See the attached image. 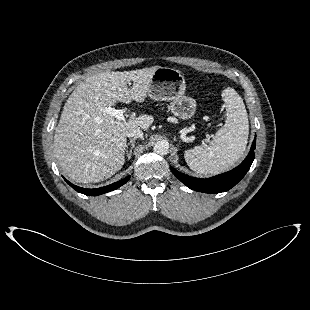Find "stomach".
<instances>
[{
  "mask_svg": "<svg viewBox=\"0 0 310 310\" xmlns=\"http://www.w3.org/2000/svg\"><path fill=\"white\" fill-rule=\"evenodd\" d=\"M186 83L180 70L158 67L148 91L151 99L170 102V111L178 118L186 120L196 111V100L185 95Z\"/></svg>",
  "mask_w": 310,
  "mask_h": 310,
  "instance_id": "0dacf381",
  "label": "stomach"
}]
</instances>
